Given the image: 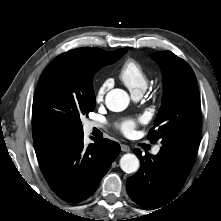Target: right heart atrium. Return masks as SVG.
Segmentation results:
<instances>
[{
	"mask_svg": "<svg viewBox=\"0 0 221 221\" xmlns=\"http://www.w3.org/2000/svg\"><path fill=\"white\" fill-rule=\"evenodd\" d=\"M111 83L112 81L110 79H106L99 85L95 94V98L98 102L103 100L107 90L111 86Z\"/></svg>",
	"mask_w": 221,
	"mask_h": 221,
	"instance_id": "obj_1",
	"label": "right heart atrium"
}]
</instances>
